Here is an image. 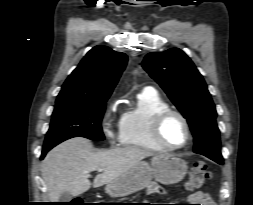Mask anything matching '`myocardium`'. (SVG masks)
Masks as SVG:
<instances>
[{"mask_svg": "<svg viewBox=\"0 0 253 205\" xmlns=\"http://www.w3.org/2000/svg\"><path fill=\"white\" fill-rule=\"evenodd\" d=\"M171 117L179 118L185 127L186 139L182 144H179V145L168 144L162 136L163 126L167 122V120L170 119ZM151 136L154 142L163 150H168V151L178 150V149L184 148L191 139L190 124L187 118L182 113L169 108L164 111H161L154 117L151 124Z\"/></svg>", "mask_w": 253, "mask_h": 205, "instance_id": "myocardium-1", "label": "myocardium"}]
</instances>
